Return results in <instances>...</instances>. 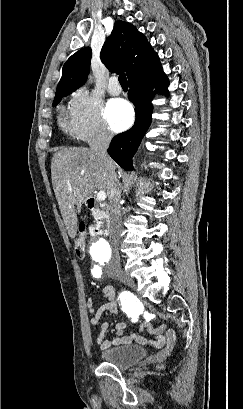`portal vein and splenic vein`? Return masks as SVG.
Instances as JSON below:
<instances>
[{"label": "portal vein and splenic vein", "mask_w": 243, "mask_h": 409, "mask_svg": "<svg viewBox=\"0 0 243 409\" xmlns=\"http://www.w3.org/2000/svg\"><path fill=\"white\" fill-rule=\"evenodd\" d=\"M97 200H99V201H103V200H105L106 199V193H105V191H99L98 193H97Z\"/></svg>", "instance_id": "portal-vein-and-splenic-vein-1"}]
</instances>
